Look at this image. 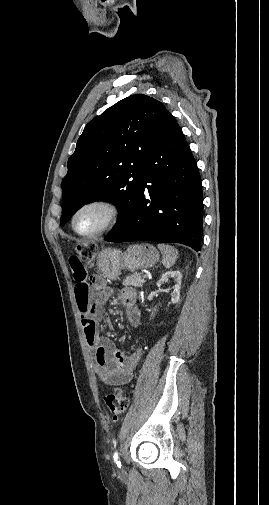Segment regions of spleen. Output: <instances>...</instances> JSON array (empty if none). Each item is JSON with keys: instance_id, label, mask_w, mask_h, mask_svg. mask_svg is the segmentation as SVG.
Here are the masks:
<instances>
[{"instance_id": "spleen-1", "label": "spleen", "mask_w": 269, "mask_h": 505, "mask_svg": "<svg viewBox=\"0 0 269 505\" xmlns=\"http://www.w3.org/2000/svg\"><path fill=\"white\" fill-rule=\"evenodd\" d=\"M158 248L162 254V263L164 267H172L178 257V250L175 247L166 244H158Z\"/></svg>"}]
</instances>
